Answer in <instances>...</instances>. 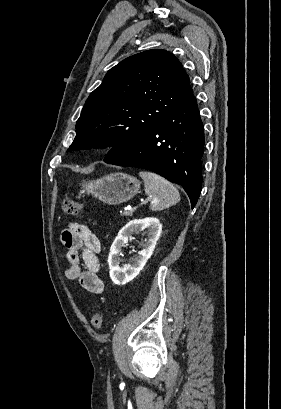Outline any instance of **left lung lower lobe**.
<instances>
[{"label":"left lung lower lobe","instance_id":"obj_1","mask_svg":"<svg viewBox=\"0 0 281 409\" xmlns=\"http://www.w3.org/2000/svg\"><path fill=\"white\" fill-rule=\"evenodd\" d=\"M204 144V127L192 92L187 100L108 163L147 169L180 184L194 208L201 192Z\"/></svg>","mask_w":281,"mask_h":409}]
</instances>
